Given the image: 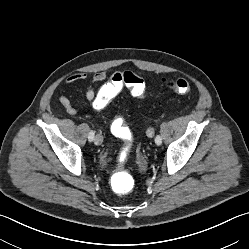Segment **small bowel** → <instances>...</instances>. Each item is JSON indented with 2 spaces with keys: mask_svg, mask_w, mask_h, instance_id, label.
<instances>
[{
  "mask_svg": "<svg viewBox=\"0 0 249 249\" xmlns=\"http://www.w3.org/2000/svg\"><path fill=\"white\" fill-rule=\"evenodd\" d=\"M107 76H108L107 71L101 70L96 72L92 76L91 81L86 88L85 99L88 105L95 111H100L105 107L106 99L112 93L113 88L110 81L109 80L107 81ZM86 78H87V73L85 72L74 73L66 79V84L73 85L76 82L85 80ZM117 93L118 92H115L113 94V97H115ZM58 100L62 105V107L64 108V110L66 111V113L72 116L77 114L78 112L77 108L72 104L71 100L67 96L60 95ZM117 121L119 120L113 121L111 125V130L112 126ZM106 161H107L106 158L102 160V162L104 163Z\"/></svg>",
  "mask_w": 249,
  "mask_h": 249,
  "instance_id": "small-bowel-1",
  "label": "small bowel"
}]
</instances>
